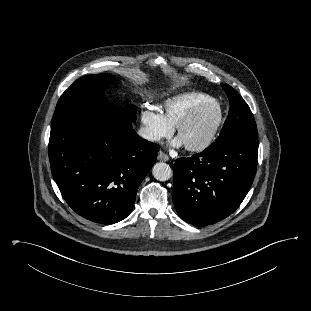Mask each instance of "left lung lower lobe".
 Listing matches in <instances>:
<instances>
[{
    "mask_svg": "<svg viewBox=\"0 0 311 311\" xmlns=\"http://www.w3.org/2000/svg\"><path fill=\"white\" fill-rule=\"evenodd\" d=\"M258 145L255 137H237L177 159L173 202L178 215L202 227L232 214L253 183Z\"/></svg>",
    "mask_w": 311,
    "mask_h": 311,
    "instance_id": "1",
    "label": "left lung lower lobe"
}]
</instances>
